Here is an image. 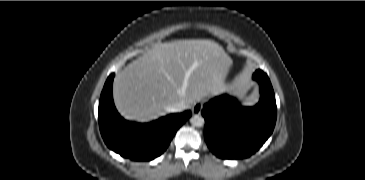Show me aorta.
I'll use <instances>...</instances> for the list:
<instances>
[{
	"mask_svg": "<svg viewBox=\"0 0 365 180\" xmlns=\"http://www.w3.org/2000/svg\"><path fill=\"white\" fill-rule=\"evenodd\" d=\"M190 123L195 127H202L205 123V120L201 115H194L191 117Z\"/></svg>",
	"mask_w": 365,
	"mask_h": 180,
	"instance_id": "obj_1",
	"label": "aorta"
}]
</instances>
